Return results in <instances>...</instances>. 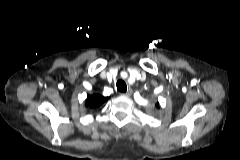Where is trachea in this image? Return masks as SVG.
<instances>
[{
    "instance_id": "trachea-1",
    "label": "trachea",
    "mask_w": 240,
    "mask_h": 160,
    "mask_svg": "<svg viewBox=\"0 0 240 160\" xmlns=\"http://www.w3.org/2000/svg\"><path fill=\"white\" fill-rule=\"evenodd\" d=\"M116 86H117V90H118L119 92L124 93V92L127 91L126 83H125V81L122 80V79H120V80L117 81Z\"/></svg>"
}]
</instances>
